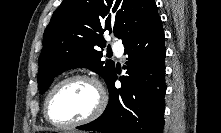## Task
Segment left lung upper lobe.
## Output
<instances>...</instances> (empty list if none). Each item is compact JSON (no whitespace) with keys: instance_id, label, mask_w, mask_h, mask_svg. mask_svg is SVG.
Masks as SVG:
<instances>
[{"instance_id":"5c2ea615","label":"left lung upper lobe","mask_w":221,"mask_h":133,"mask_svg":"<svg viewBox=\"0 0 221 133\" xmlns=\"http://www.w3.org/2000/svg\"><path fill=\"white\" fill-rule=\"evenodd\" d=\"M159 18L154 0H63L43 37L39 57L38 89L71 68L86 67L108 83L115 68L101 61L102 34L113 33L123 44Z\"/></svg>"}]
</instances>
